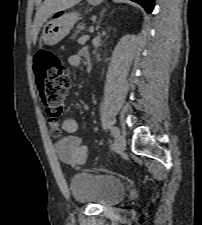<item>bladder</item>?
I'll return each instance as SVG.
<instances>
[{
  "label": "bladder",
  "instance_id": "1",
  "mask_svg": "<svg viewBox=\"0 0 202 225\" xmlns=\"http://www.w3.org/2000/svg\"><path fill=\"white\" fill-rule=\"evenodd\" d=\"M69 190L77 203L101 207L116 205L125 196V186L120 179L97 171L75 174L69 183Z\"/></svg>",
  "mask_w": 202,
  "mask_h": 225
}]
</instances>
